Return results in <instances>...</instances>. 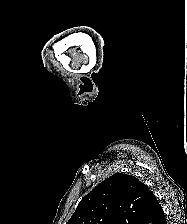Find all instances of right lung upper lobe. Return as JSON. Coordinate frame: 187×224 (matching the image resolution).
<instances>
[{
  "instance_id": "cb5924a9",
  "label": "right lung upper lobe",
  "mask_w": 187,
  "mask_h": 224,
  "mask_svg": "<svg viewBox=\"0 0 187 224\" xmlns=\"http://www.w3.org/2000/svg\"><path fill=\"white\" fill-rule=\"evenodd\" d=\"M155 195L135 176L116 173L78 204L67 224H164Z\"/></svg>"
}]
</instances>
